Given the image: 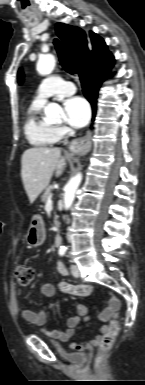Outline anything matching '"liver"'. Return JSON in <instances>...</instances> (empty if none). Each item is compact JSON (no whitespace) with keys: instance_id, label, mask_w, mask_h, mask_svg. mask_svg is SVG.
<instances>
[{"instance_id":"6515ba94","label":"liver","mask_w":145,"mask_h":385,"mask_svg":"<svg viewBox=\"0 0 145 385\" xmlns=\"http://www.w3.org/2000/svg\"><path fill=\"white\" fill-rule=\"evenodd\" d=\"M65 162L59 148H30L23 153L21 177L30 203L49 185L54 172L57 177L61 174Z\"/></svg>"}]
</instances>
